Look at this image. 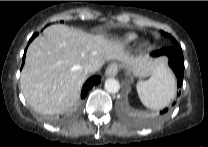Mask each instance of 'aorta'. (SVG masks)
Instances as JSON below:
<instances>
[{"mask_svg":"<svg viewBox=\"0 0 208 147\" xmlns=\"http://www.w3.org/2000/svg\"><path fill=\"white\" fill-rule=\"evenodd\" d=\"M105 90L109 93H117L120 89L119 82L114 78H108L104 84Z\"/></svg>","mask_w":208,"mask_h":147,"instance_id":"aorta-1","label":"aorta"}]
</instances>
